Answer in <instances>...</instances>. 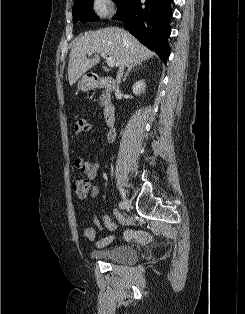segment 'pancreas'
Masks as SVG:
<instances>
[{
  "label": "pancreas",
  "mask_w": 245,
  "mask_h": 314,
  "mask_svg": "<svg viewBox=\"0 0 245 314\" xmlns=\"http://www.w3.org/2000/svg\"><path fill=\"white\" fill-rule=\"evenodd\" d=\"M109 103V94L107 91L103 92L100 97V104L101 106H106Z\"/></svg>",
  "instance_id": "pancreas-1"
}]
</instances>
